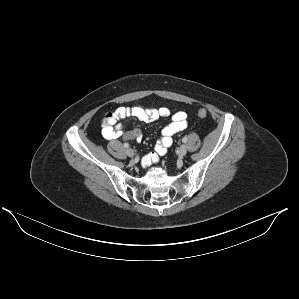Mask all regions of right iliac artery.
I'll list each match as a JSON object with an SVG mask.
<instances>
[{
    "mask_svg": "<svg viewBox=\"0 0 299 299\" xmlns=\"http://www.w3.org/2000/svg\"><path fill=\"white\" fill-rule=\"evenodd\" d=\"M123 146H124L125 148H128V147H129V144H128V143H124Z\"/></svg>",
    "mask_w": 299,
    "mask_h": 299,
    "instance_id": "obj_1",
    "label": "right iliac artery"
}]
</instances>
